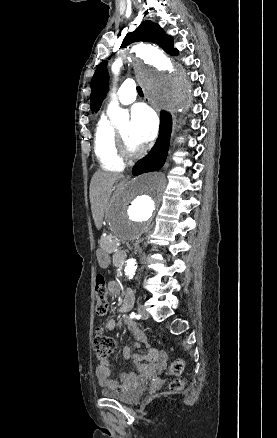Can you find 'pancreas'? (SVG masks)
Returning a JSON list of instances; mask_svg holds the SVG:
<instances>
[{
	"instance_id": "1",
	"label": "pancreas",
	"mask_w": 277,
	"mask_h": 438,
	"mask_svg": "<svg viewBox=\"0 0 277 438\" xmlns=\"http://www.w3.org/2000/svg\"><path fill=\"white\" fill-rule=\"evenodd\" d=\"M98 242L101 248H104L105 253H116L117 248H121L123 242L121 239H115L112 231H103L99 235Z\"/></svg>"
}]
</instances>
